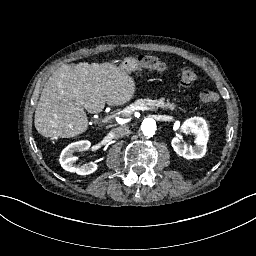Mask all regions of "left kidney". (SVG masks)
Returning a JSON list of instances; mask_svg holds the SVG:
<instances>
[{
	"mask_svg": "<svg viewBox=\"0 0 256 256\" xmlns=\"http://www.w3.org/2000/svg\"><path fill=\"white\" fill-rule=\"evenodd\" d=\"M192 133L195 136V146L188 147L182 144L181 134ZM209 137V132L206 122L199 117H194L186 120L178 129L171 144L177 155L185 159H199L205 155L206 144Z\"/></svg>",
	"mask_w": 256,
	"mask_h": 256,
	"instance_id": "obj_1",
	"label": "left kidney"
}]
</instances>
